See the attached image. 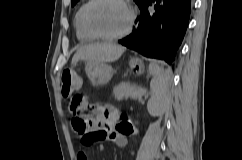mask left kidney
<instances>
[{
    "mask_svg": "<svg viewBox=\"0 0 242 160\" xmlns=\"http://www.w3.org/2000/svg\"><path fill=\"white\" fill-rule=\"evenodd\" d=\"M147 109L150 115L156 117L163 113V107L154 102V98L148 101Z\"/></svg>",
    "mask_w": 242,
    "mask_h": 160,
    "instance_id": "obj_1",
    "label": "left kidney"
}]
</instances>
